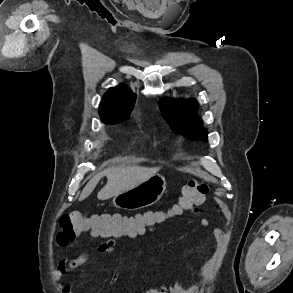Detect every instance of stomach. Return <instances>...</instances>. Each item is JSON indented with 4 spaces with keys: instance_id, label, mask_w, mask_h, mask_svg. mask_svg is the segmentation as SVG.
I'll list each match as a JSON object with an SVG mask.
<instances>
[{
    "instance_id": "0dacf381",
    "label": "stomach",
    "mask_w": 293,
    "mask_h": 293,
    "mask_svg": "<svg viewBox=\"0 0 293 293\" xmlns=\"http://www.w3.org/2000/svg\"><path fill=\"white\" fill-rule=\"evenodd\" d=\"M165 190L164 176L155 174L139 185L114 196L112 201L119 209L137 210L157 203Z\"/></svg>"
}]
</instances>
